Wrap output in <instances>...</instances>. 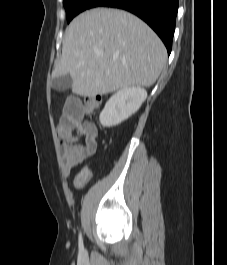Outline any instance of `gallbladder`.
Wrapping results in <instances>:
<instances>
[{
    "label": "gallbladder",
    "instance_id": "bac80fb5",
    "mask_svg": "<svg viewBox=\"0 0 227 265\" xmlns=\"http://www.w3.org/2000/svg\"><path fill=\"white\" fill-rule=\"evenodd\" d=\"M72 78L69 74L61 75L53 78L52 87L56 90H65L71 87Z\"/></svg>",
    "mask_w": 227,
    "mask_h": 265
}]
</instances>
